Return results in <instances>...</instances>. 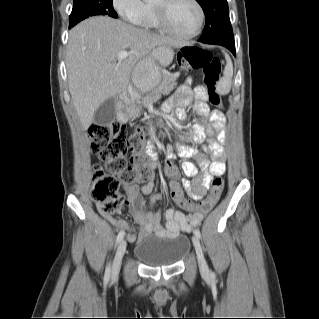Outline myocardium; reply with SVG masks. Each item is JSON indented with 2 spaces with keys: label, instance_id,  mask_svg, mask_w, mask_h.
Returning <instances> with one entry per match:
<instances>
[{
  "label": "myocardium",
  "instance_id": "myocardium-1",
  "mask_svg": "<svg viewBox=\"0 0 319 319\" xmlns=\"http://www.w3.org/2000/svg\"><path fill=\"white\" fill-rule=\"evenodd\" d=\"M173 0H159V4H154V9L159 26L168 34L182 40H189L195 38L201 31L204 23V10L198 0H190V2L196 7L198 11V22L195 30L190 34H180L176 32L168 23V8Z\"/></svg>",
  "mask_w": 319,
  "mask_h": 319
}]
</instances>
